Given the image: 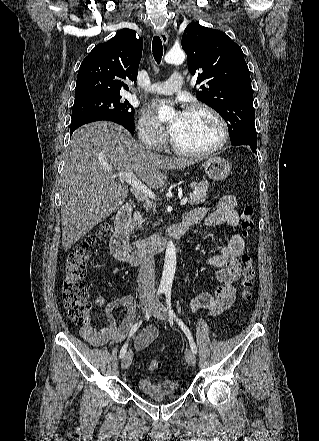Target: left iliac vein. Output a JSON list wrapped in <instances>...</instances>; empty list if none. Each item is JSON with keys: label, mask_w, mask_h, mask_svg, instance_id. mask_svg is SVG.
Wrapping results in <instances>:
<instances>
[{"label": "left iliac vein", "mask_w": 319, "mask_h": 441, "mask_svg": "<svg viewBox=\"0 0 319 441\" xmlns=\"http://www.w3.org/2000/svg\"><path fill=\"white\" fill-rule=\"evenodd\" d=\"M151 314L160 319L167 320L168 319V311L167 308L160 303L159 301H155L153 307L151 308ZM186 361L190 366H195L196 364V356L190 349L185 350Z\"/></svg>", "instance_id": "left-iliac-vein-1"}]
</instances>
